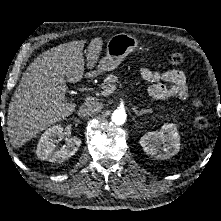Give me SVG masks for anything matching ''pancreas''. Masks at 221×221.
<instances>
[{"instance_id": "cf45deb5", "label": "pancreas", "mask_w": 221, "mask_h": 221, "mask_svg": "<svg viewBox=\"0 0 221 221\" xmlns=\"http://www.w3.org/2000/svg\"><path fill=\"white\" fill-rule=\"evenodd\" d=\"M115 82H118V77L116 75L110 74L105 79L104 82L101 85V88L103 89L104 96H107L106 90L110 88L112 84Z\"/></svg>"}]
</instances>
